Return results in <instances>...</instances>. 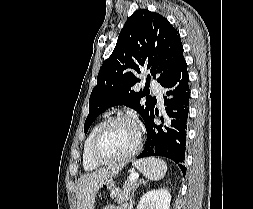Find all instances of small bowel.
Segmentation results:
<instances>
[{
  "label": "small bowel",
  "mask_w": 253,
  "mask_h": 209,
  "mask_svg": "<svg viewBox=\"0 0 253 209\" xmlns=\"http://www.w3.org/2000/svg\"><path fill=\"white\" fill-rule=\"evenodd\" d=\"M104 209H127L126 205H119V206H107Z\"/></svg>",
  "instance_id": "1"
}]
</instances>
